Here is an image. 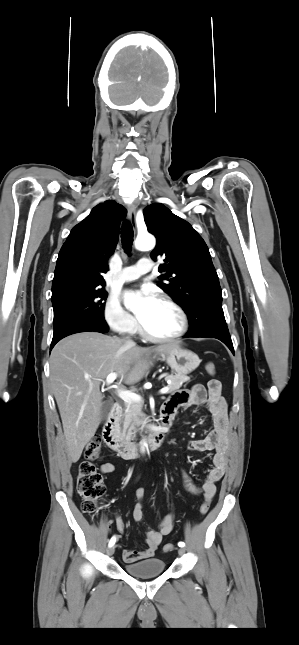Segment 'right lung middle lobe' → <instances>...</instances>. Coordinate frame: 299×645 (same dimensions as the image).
Here are the masks:
<instances>
[{
    "instance_id": "obj_1",
    "label": "right lung middle lobe",
    "mask_w": 299,
    "mask_h": 645,
    "mask_svg": "<svg viewBox=\"0 0 299 645\" xmlns=\"http://www.w3.org/2000/svg\"><path fill=\"white\" fill-rule=\"evenodd\" d=\"M107 296L103 288L68 289L53 295V336L83 322L106 325L103 300Z\"/></svg>"
}]
</instances>
